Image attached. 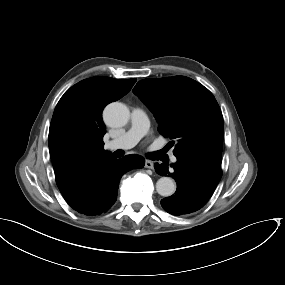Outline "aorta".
I'll return each instance as SVG.
<instances>
[{
  "label": "aorta",
  "instance_id": "1",
  "mask_svg": "<svg viewBox=\"0 0 285 285\" xmlns=\"http://www.w3.org/2000/svg\"><path fill=\"white\" fill-rule=\"evenodd\" d=\"M104 120L111 127L124 126L129 120L128 108L119 102H114L106 106L104 110ZM176 184L170 177H161L156 183V191L163 197L174 194Z\"/></svg>",
  "mask_w": 285,
  "mask_h": 285
}]
</instances>
